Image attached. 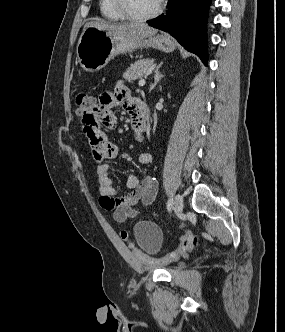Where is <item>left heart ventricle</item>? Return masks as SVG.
<instances>
[{"instance_id":"1","label":"left heart ventricle","mask_w":285,"mask_h":332,"mask_svg":"<svg viewBox=\"0 0 285 332\" xmlns=\"http://www.w3.org/2000/svg\"><path fill=\"white\" fill-rule=\"evenodd\" d=\"M133 12L139 15H145L153 12L159 3L157 0H128Z\"/></svg>"}]
</instances>
